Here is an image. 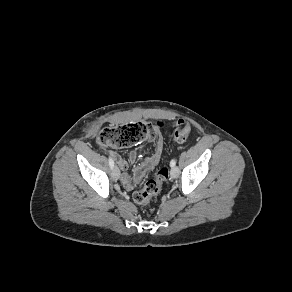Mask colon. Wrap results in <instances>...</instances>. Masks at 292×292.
Segmentation results:
<instances>
[{
    "mask_svg": "<svg viewBox=\"0 0 292 292\" xmlns=\"http://www.w3.org/2000/svg\"><path fill=\"white\" fill-rule=\"evenodd\" d=\"M171 127L172 129L168 131L167 136L176 142L186 141L192 133L190 123L182 119L172 122ZM157 136L156 126L149 122L139 121L106 127L98 134L96 142L101 146L126 147L146 139H155ZM167 177L168 169L166 167L159 168L155 172L154 178L148 180L142 189L134 193V201L139 205H148L159 194Z\"/></svg>",
    "mask_w": 292,
    "mask_h": 292,
    "instance_id": "colon-1",
    "label": "colon"
}]
</instances>
